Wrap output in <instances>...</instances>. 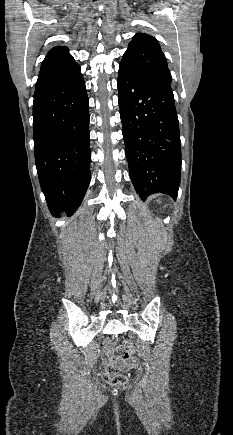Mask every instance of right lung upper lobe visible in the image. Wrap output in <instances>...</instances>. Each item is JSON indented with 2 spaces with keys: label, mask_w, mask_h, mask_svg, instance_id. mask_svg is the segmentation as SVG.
<instances>
[{
  "label": "right lung upper lobe",
  "mask_w": 233,
  "mask_h": 435,
  "mask_svg": "<svg viewBox=\"0 0 233 435\" xmlns=\"http://www.w3.org/2000/svg\"><path fill=\"white\" fill-rule=\"evenodd\" d=\"M80 73V66L67 47H54L42 62L35 94L49 90Z\"/></svg>",
  "instance_id": "right-lung-upper-lobe-1"
}]
</instances>
